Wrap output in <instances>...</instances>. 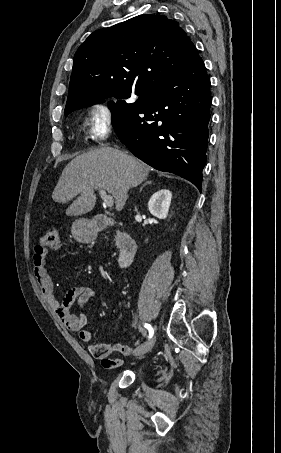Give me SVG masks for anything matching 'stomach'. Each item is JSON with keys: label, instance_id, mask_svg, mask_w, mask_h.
Instances as JSON below:
<instances>
[{"label": "stomach", "instance_id": "1", "mask_svg": "<svg viewBox=\"0 0 281 453\" xmlns=\"http://www.w3.org/2000/svg\"><path fill=\"white\" fill-rule=\"evenodd\" d=\"M71 233L73 239L78 241V243H92L96 237L93 224L88 218H77V220H74Z\"/></svg>", "mask_w": 281, "mask_h": 453}]
</instances>
